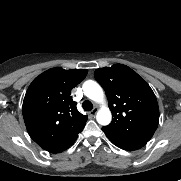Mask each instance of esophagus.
Segmentation results:
<instances>
[{
  "mask_svg": "<svg viewBox=\"0 0 181 181\" xmlns=\"http://www.w3.org/2000/svg\"><path fill=\"white\" fill-rule=\"evenodd\" d=\"M97 111H98V109H97V108H94L92 111L89 112V115H90L91 117H94V116L96 115Z\"/></svg>",
  "mask_w": 181,
  "mask_h": 181,
  "instance_id": "1",
  "label": "esophagus"
}]
</instances>
